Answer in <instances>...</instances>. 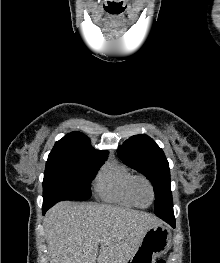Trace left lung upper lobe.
<instances>
[{
	"mask_svg": "<svg viewBox=\"0 0 220 263\" xmlns=\"http://www.w3.org/2000/svg\"><path fill=\"white\" fill-rule=\"evenodd\" d=\"M118 156L153 183L155 214L173 211L170 169L162 149L149 136L135 135L118 149Z\"/></svg>",
	"mask_w": 220,
	"mask_h": 263,
	"instance_id": "obj_1",
	"label": "left lung upper lobe"
}]
</instances>
